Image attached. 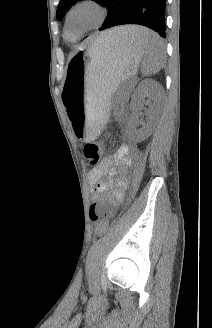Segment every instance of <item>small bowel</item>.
Here are the masks:
<instances>
[{
    "mask_svg": "<svg viewBox=\"0 0 212 328\" xmlns=\"http://www.w3.org/2000/svg\"><path fill=\"white\" fill-rule=\"evenodd\" d=\"M131 162L130 151L127 146H121L117 151L105 156L96 166L88 173V181L92 186L93 200L95 202H106L109 206L115 207L124 199V189L127 185V168ZM116 166H120L119 172L116 171ZM106 174L116 175V189L109 197H105L109 187L102 180Z\"/></svg>",
    "mask_w": 212,
    "mask_h": 328,
    "instance_id": "c3829d8e",
    "label": "small bowel"
}]
</instances>
